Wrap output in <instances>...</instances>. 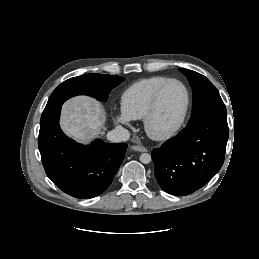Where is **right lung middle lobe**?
Masks as SVG:
<instances>
[{
    "label": "right lung middle lobe",
    "mask_w": 259,
    "mask_h": 259,
    "mask_svg": "<svg viewBox=\"0 0 259 259\" xmlns=\"http://www.w3.org/2000/svg\"><path fill=\"white\" fill-rule=\"evenodd\" d=\"M124 79V77L105 74H85L70 78L53 91L44 111L61 106L67 99L76 95H88L107 101L110 91Z\"/></svg>",
    "instance_id": "dd1d6c3e"
}]
</instances>
